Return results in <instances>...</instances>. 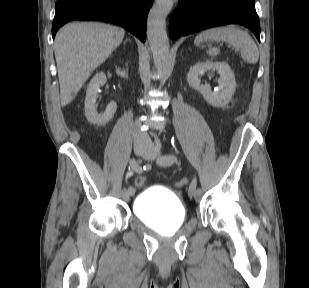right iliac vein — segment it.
<instances>
[{"label":"right iliac vein","instance_id":"63e3f726","mask_svg":"<svg viewBox=\"0 0 309 288\" xmlns=\"http://www.w3.org/2000/svg\"><path fill=\"white\" fill-rule=\"evenodd\" d=\"M134 152H135V154L137 155V156H146L147 154H148V150L146 149V148H144V147H142V146H138V145H136L135 147H134ZM135 192V191H134ZM134 195V193H129V191L127 190V192L124 194V197L126 198V199H128L129 197H131V196H133Z\"/></svg>","mask_w":309,"mask_h":288}]
</instances>
